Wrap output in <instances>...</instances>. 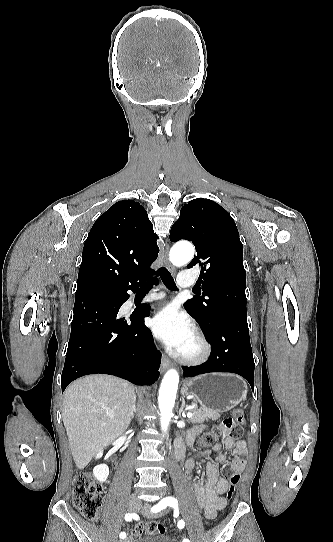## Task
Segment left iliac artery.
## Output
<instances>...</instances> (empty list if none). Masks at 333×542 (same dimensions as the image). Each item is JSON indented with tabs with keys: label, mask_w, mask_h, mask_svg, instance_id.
<instances>
[{
	"label": "left iliac artery",
	"mask_w": 333,
	"mask_h": 542,
	"mask_svg": "<svg viewBox=\"0 0 333 542\" xmlns=\"http://www.w3.org/2000/svg\"><path fill=\"white\" fill-rule=\"evenodd\" d=\"M177 504V500L173 497H166L164 499H162L156 506H154L151 511L156 513V512H159L161 511L162 509H165L168 505L169 506H174ZM178 527L180 529L184 528L185 526V523L183 520H180L178 522ZM183 542H190L189 539H184Z\"/></svg>",
	"instance_id": "obj_1"
}]
</instances>
